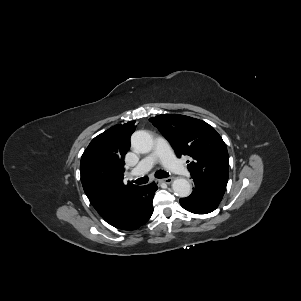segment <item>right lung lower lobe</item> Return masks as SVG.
Returning <instances> with one entry per match:
<instances>
[{
    "mask_svg": "<svg viewBox=\"0 0 301 301\" xmlns=\"http://www.w3.org/2000/svg\"><path fill=\"white\" fill-rule=\"evenodd\" d=\"M156 190L155 183L137 187L129 195L121 213L110 224L121 230H135L145 224L153 213L152 201Z\"/></svg>",
    "mask_w": 301,
    "mask_h": 301,
    "instance_id": "98d812e1",
    "label": "right lung lower lobe"
}]
</instances>
